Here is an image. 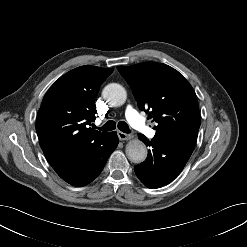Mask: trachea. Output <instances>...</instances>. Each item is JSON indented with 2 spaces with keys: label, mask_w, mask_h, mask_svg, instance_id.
<instances>
[{
  "label": "trachea",
  "mask_w": 247,
  "mask_h": 247,
  "mask_svg": "<svg viewBox=\"0 0 247 247\" xmlns=\"http://www.w3.org/2000/svg\"><path fill=\"white\" fill-rule=\"evenodd\" d=\"M117 127L119 128V130H121L124 133H129L130 129L128 124L125 121H120L118 122ZM116 128V123L113 120H109L107 121L101 128V131H112Z\"/></svg>",
  "instance_id": "1"
}]
</instances>
